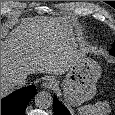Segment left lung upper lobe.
<instances>
[{
    "label": "left lung upper lobe",
    "mask_w": 115,
    "mask_h": 115,
    "mask_svg": "<svg viewBox=\"0 0 115 115\" xmlns=\"http://www.w3.org/2000/svg\"><path fill=\"white\" fill-rule=\"evenodd\" d=\"M110 53L115 56V42L113 44L112 49L110 50Z\"/></svg>",
    "instance_id": "obj_1"
}]
</instances>
